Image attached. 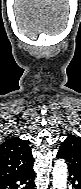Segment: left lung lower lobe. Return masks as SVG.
I'll list each match as a JSON object with an SVG mask.
<instances>
[{
    "label": "left lung lower lobe",
    "mask_w": 81,
    "mask_h": 189,
    "mask_svg": "<svg viewBox=\"0 0 81 189\" xmlns=\"http://www.w3.org/2000/svg\"><path fill=\"white\" fill-rule=\"evenodd\" d=\"M57 158H60L57 156ZM69 179L71 181V184H73L72 187H75L76 189H81V176H78L72 172H69ZM77 182V184H74Z\"/></svg>",
    "instance_id": "obj_1"
}]
</instances>
